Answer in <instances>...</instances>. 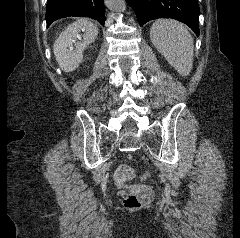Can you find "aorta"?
I'll use <instances>...</instances> for the list:
<instances>
[{
  "mask_svg": "<svg viewBox=\"0 0 240 238\" xmlns=\"http://www.w3.org/2000/svg\"><path fill=\"white\" fill-rule=\"evenodd\" d=\"M106 4L113 11L123 12L126 9L125 0H106Z\"/></svg>",
  "mask_w": 240,
  "mask_h": 238,
  "instance_id": "1",
  "label": "aorta"
}]
</instances>
